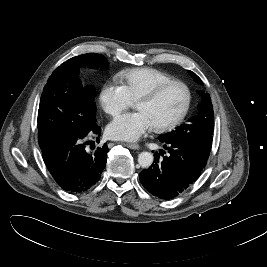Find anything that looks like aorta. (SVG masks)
<instances>
[{
    "mask_svg": "<svg viewBox=\"0 0 267 267\" xmlns=\"http://www.w3.org/2000/svg\"><path fill=\"white\" fill-rule=\"evenodd\" d=\"M154 160L153 154L150 152H141L138 155V163L143 168H148L152 165Z\"/></svg>",
    "mask_w": 267,
    "mask_h": 267,
    "instance_id": "1",
    "label": "aorta"
}]
</instances>
